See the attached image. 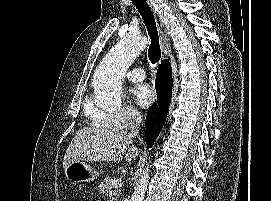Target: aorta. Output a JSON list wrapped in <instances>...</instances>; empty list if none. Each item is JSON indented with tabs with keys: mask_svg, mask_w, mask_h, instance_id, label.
<instances>
[{
	"mask_svg": "<svg viewBox=\"0 0 271 201\" xmlns=\"http://www.w3.org/2000/svg\"><path fill=\"white\" fill-rule=\"evenodd\" d=\"M146 46V37L128 34L107 53L96 70L94 93L98 102L105 106H119L121 104L123 76ZM149 172L148 164L136 183L130 201H144Z\"/></svg>",
	"mask_w": 271,
	"mask_h": 201,
	"instance_id": "aorta-1",
	"label": "aorta"
}]
</instances>
